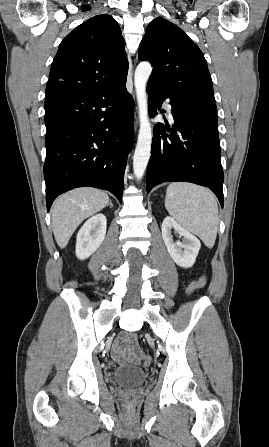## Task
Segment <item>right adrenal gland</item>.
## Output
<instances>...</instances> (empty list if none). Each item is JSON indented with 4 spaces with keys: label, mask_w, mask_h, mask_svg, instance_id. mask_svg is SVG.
<instances>
[{
    "label": "right adrenal gland",
    "mask_w": 269,
    "mask_h": 447,
    "mask_svg": "<svg viewBox=\"0 0 269 447\" xmlns=\"http://www.w3.org/2000/svg\"><path fill=\"white\" fill-rule=\"evenodd\" d=\"M109 206H110V208H112V206H113L111 200H110V202H109Z\"/></svg>",
    "instance_id": "2a0ac1e0"
}]
</instances>
